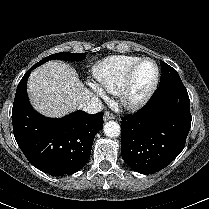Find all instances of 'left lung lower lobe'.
<instances>
[{
	"instance_id": "0a47b994",
	"label": "left lung lower lobe",
	"mask_w": 209,
	"mask_h": 209,
	"mask_svg": "<svg viewBox=\"0 0 209 209\" xmlns=\"http://www.w3.org/2000/svg\"><path fill=\"white\" fill-rule=\"evenodd\" d=\"M191 119L182 81L160 85L141 110L121 119L123 160L142 174L166 167L183 150Z\"/></svg>"
}]
</instances>
